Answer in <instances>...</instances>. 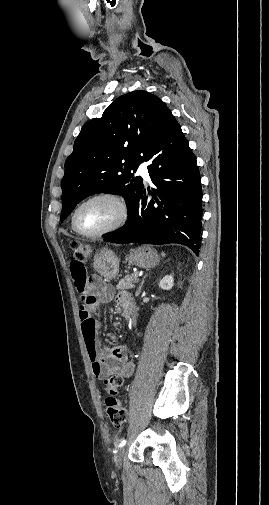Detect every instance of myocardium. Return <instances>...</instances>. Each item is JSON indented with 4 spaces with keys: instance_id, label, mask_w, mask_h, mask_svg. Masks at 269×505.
Wrapping results in <instances>:
<instances>
[{
    "instance_id": "f54148a6",
    "label": "myocardium",
    "mask_w": 269,
    "mask_h": 505,
    "mask_svg": "<svg viewBox=\"0 0 269 505\" xmlns=\"http://www.w3.org/2000/svg\"><path fill=\"white\" fill-rule=\"evenodd\" d=\"M97 199H109V200L115 202L117 204V206L119 207V216L113 224H111L110 226H108L107 228H105L101 231L93 232V233L82 231L77 225L78 212L80 211V209L84 205H86L87 203H89L91 201L97 200ZM128 217H129V207H128V204H127V201L125 200V198L115 192L104 191V192H99V193L89 196L88 198L84 199L76 207V209L74 210L73 215H72L71 225H72L73 230L76 233H78L79 235H81L83 237H87V238H97V237L104 236L108 233H111V232L121 228L128 220Z\"/></svg>"
}]
</instances>
